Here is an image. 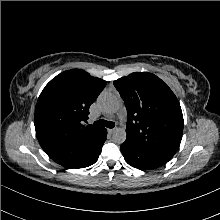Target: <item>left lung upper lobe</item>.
Returning a JSON list of instances; mask_svg holds the SVG:
<instances>
[{"label":"left lung upper lobe","mask_w":220,"mask_h":220,"mask_svg":"<svg viewBox=\"0 0 220 220\" xmlns=\"http://www.w3.org/2000/svg\"><path fill=\"white\" fill-rule=\"evenodd\" d=\"M127 109L126 142L170 160L183 132V115L171 89L149 72L114 81Z\"/></svg>","instance_id":"obj_1"}]
</instances>
